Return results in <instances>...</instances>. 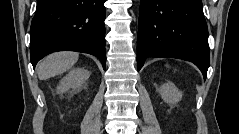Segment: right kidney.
<instances>
[{
    "mask_svg": "<svg viewBox=\"0 0 239 134\" xmlns=\"http://www.w3.org/2000/svg\"><path fill=\"white\" fill-rule=\"evenodd\" d=\"M89 77L90 72L85 68H74L61 79L59 86L57 87V93L62 94L69 89L80 90Z\"/></svg>",
    "mask_w": 239,
    "mask_h": 134,
    "instance_id": "ca27d5eb",
    "label": "right kidney"
}]
</instances>
